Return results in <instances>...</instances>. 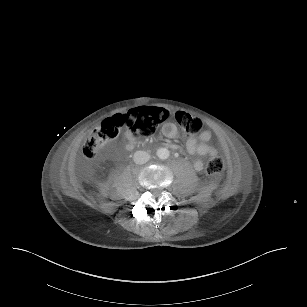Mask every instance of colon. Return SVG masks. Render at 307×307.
<instances>
[{
	"label": "colon",
	"instance_id": "obj_1",
	"mask_svg": "<svg viewBox=\"0 0 307 307\" xmlns=\"http://www.w3.org/2000/svg\"><path fill=\"white\" fill-rule=\"evenodd\" d=\"M171 113L164 108L137 107L121 116L103 120L86 139L82 147V155L85 159L94 158L103 145L110 139L116 138L122 129L130 131L135 136L147 137L155 127L168 120ZM174 118L178 125L188 134L197 135L202 131V121L191 116L185 111H177ZM224 169L221 156L212 155L206 164V172L209 175H219Z\"/></svg>",
	"mask_w": 307,
	"mask_h": 307
}]
</instances>
